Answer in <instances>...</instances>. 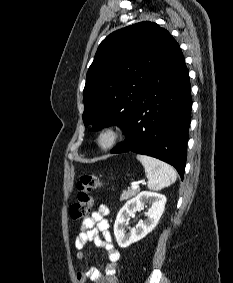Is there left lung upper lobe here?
<instances>
[{"mask_svg":"<svg viewBox=\"0 0 233 283\" xmlns=\"http://www.w3.org/2000/svg\"><path fill=\"white\" fill-rule=\"evenodd\" d=\"M177 42L150 21L119 29L99 45L83 91L85 126L116 124L122 129L139 103L151 74Z\"/></svg>","mask_w":233,"mask_h":283,"instance_id":"left-lung-upper-lobe-1","label":"left lung upper lobe"}]
</instances>
